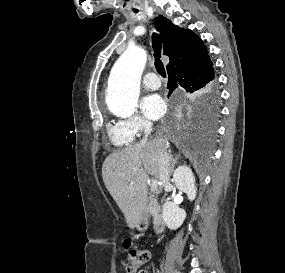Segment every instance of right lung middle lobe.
<instances>
[{"label":"right lung middle lobe","instance_id":"1","mask_svg":"<svg viewBox=\"0 0 285 273\" xmlns=\"http://www.w3.org/2000/svg\"><path fill=\"white\" fill-rule=\"evenodd\" d=\"M213 88H214V83L212 85H210L209 87H207L206 89H204L202 91H198L196 96H195V99L202 102L205 97L210 96Z\"/></svg>","mask_w":285,"mask_h":273}]
</instances>
